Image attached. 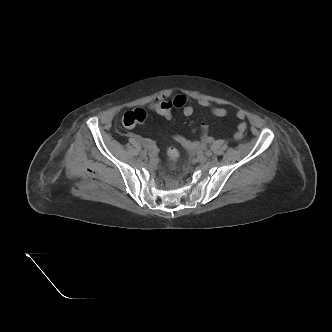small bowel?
I'll use <instances>...</instances> for the list:
<instances>
[{"instance_id": "obj_1", "label": "small bowel", "mask_w": 332, "mask_h": 332, "mask_svg": "<svg viewBox=\"0 0 332 332\" xmlns=\"http://www.w3.org/2000/svg\"><path fill=\"white\" fill-rule=\"evenodd\" d=\"M198 105L201 107L209 109V111L216 117H225L228 114V111L223 107L214 106L211 102L205 99H199L197 101ZM168 108L170 111L173 109H180L182 114L185 117H191L194 113V108L188 103V99L183 94H178L173 98H169V95H165L163 99L158 101L152 106V110L160 116L164 117V112ZM236 117L240 120L237 125V129L234 133V138L239 140L243 137L247 124L245 120V113L243 111L236 112ZM201 141H190L186 137L180 134L174 135V140L181 146L187 149H196L200 148L203 145L212 141V137L208 135V126L205 123H202L200 126ZM152 146V145H151ZM153 147V146H152Z\"/></svg>"}]
</instances>
